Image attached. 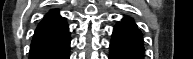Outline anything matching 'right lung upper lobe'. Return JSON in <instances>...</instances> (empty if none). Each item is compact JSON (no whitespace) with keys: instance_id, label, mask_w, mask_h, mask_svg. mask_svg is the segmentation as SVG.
<instances>
[{"instance_id":"1","label":"right lung upper lobe","mask_w":193,"mask_h":59,"mask_svg":"<svg viewBox=\"0 0 193 59\" xmlns=\"http://www.w3.org/2000/svg\"><path fill=\"white\" fill-rule=\"evenodd\" d=\"M68 32V26L57 10H52L35 30L31 44L57 38Z\"/></svg>"}]
</instances>
